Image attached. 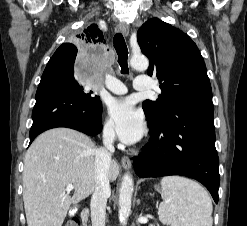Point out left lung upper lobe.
Segmentation results:
<instances>
[{"label":"left lung upper lobe","instance_id":"5c2ea615","mask_svg":"<svg viewBox=\"0 0 247 226\" xmlns=\"http://www.w3.org/2000/svg\"><path fill=\"white\" fill-rule=\"evenodd\" d=\"M137 40L150 61L148 74L157 76L162 90L156 101L142 104L149 125L161 123L186 102L212 99L203 57L187 34L153 18L138 30Z\"/></svg>","mask_w":247,"mask_h":226}]
</instances>
